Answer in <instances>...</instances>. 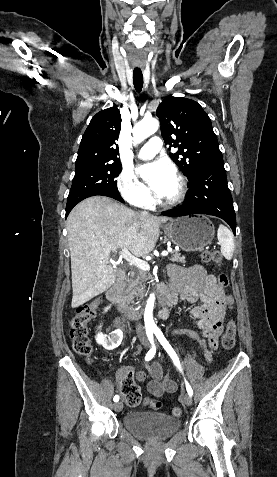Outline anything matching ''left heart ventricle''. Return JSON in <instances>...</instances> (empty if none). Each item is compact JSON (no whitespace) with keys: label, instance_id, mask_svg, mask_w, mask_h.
I'll return each instance as SVG.
<instances>
[{"label":"left heart ventricle","instance_id":"obj_1","mask_svg":"<svg viewBox=\"0 0 277 477\" xmlns=\"http://www.w3.org/2000/svg\"><path fill=\"white\" fill-rule=\"evenodd\" d=\"M177 193H178V182L175 179L174 183L172 184L171 188L169 189V192L167 193V195L165 197H163V199L164 200L172 199L173 197L176 196Z\"/></svg>","mask_w":277,"mask_h":477}]
</instances>
